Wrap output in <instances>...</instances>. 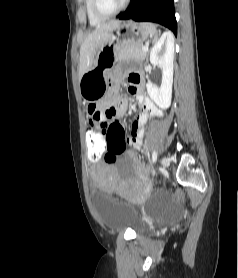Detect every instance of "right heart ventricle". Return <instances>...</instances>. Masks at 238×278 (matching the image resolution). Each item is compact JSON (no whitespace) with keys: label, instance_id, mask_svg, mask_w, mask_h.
Returning a JSON list of instances; mask_svg holds the SVG:
<instances>
[{"label":"right heart ventricle","instance_id":"e07e8e85","mask_svg":"<svg viewBox=\"0 0 238 278\" xmlns=\"http://www.w3.org/2000/svg\"><path fill=\"white\" fill-rule=\"evenodd\" d=\"M85 8H86L87 17L90 24L97 25L103 21V19L98 18L97 16L94 15L91 7V0H85Z\"/></svg>","mask_w":238,"mask_h":278}]
</instances>
